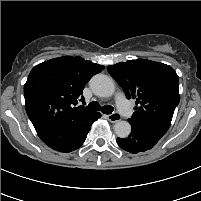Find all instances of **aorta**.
I'll return each mask as SVG.
<instances>
[{
  "instance_id": "1",
  "label": "aorta",
  "mask_w": 201,
  "mask_h": 201,
  "mask_svg": "<svg viewBox=\"0 0 201 201\" xmlns=\"http://www.w3.org/2000/svg\"><path fill=\"white\" fill-rule=\"evenodd\" d=\"M90 88L99 97H110L115 92V83L111 77L97 74L90 80ZM114 131L119 138H126L131 133V125L128 121H118L114 125Z\"/></svg>"
}]
</instances>
